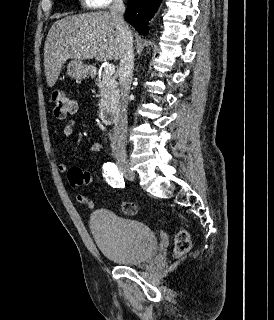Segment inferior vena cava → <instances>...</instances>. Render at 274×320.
Wrapping results in <instances>:
<instances>
[{"label": "inferior vena cava", "mask_w": 274, "mask_h": 320, "mask_svg": "<svg viewBox=\"0 0 274 320\" xmlns=\"http://www.w3.org/2000/svg\"><path fill=\"white\" fill-rule=\"evenodd\" d=\"M124 12L125 6L123 0H113L112 6H110V14L115 24V32L119 36L121 44L120 68L118 70L120 86L118 128L120 134H126L129 94L134 68L133 38L131 30H129L126 22H124ZM119 140L122 142L125 138H119Z\"/></svg>", "instance_id": "inferior-vena-cava-1"}]
</instances>
